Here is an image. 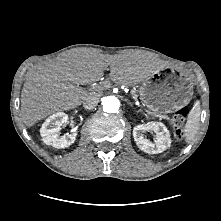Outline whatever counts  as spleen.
I'll list each match as a JSON object with an SVG mask.
<instances>
[{
  "mask_svg": "<svg viewBox=\"0 0 221 221\" xmlns=\"http://www.w3.org/2000/svg\"><path fill=\"white\" fill-rule=\"evenodd\" d=\"M200 107L196 103L189 113L188 120L184 128L186 143H190L196 136L199 129Z\"/></svg>",
  "mask_w": 221,
  "mask_h": 221,
  "instance_id": "3e777b00",
  "label": "spleen"
}]
</instances>
